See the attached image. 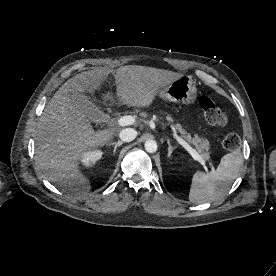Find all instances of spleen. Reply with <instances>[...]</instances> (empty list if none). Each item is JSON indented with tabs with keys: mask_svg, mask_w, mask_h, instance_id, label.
<instances>
[{
	"mask_svg": "<svg viewBox=\"0 0 276 276\" xmlns=\"http://www.w3.org/2000/svg\"><path fill=\"white\" fill-rule=\"evenodd\" d=\"M243 163L240 151H233L221 158L216 170L196 172L192 177L189 200L194 204L213 202L229 190Z\"/></svg>",
	"mask_w": 276,
	"mask_h": 276,
	"instance_id": "1",
	"label": "spleen"
}]
</instances>
